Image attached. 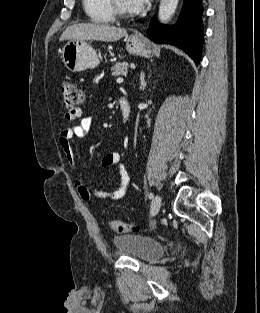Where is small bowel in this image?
I'll return each mask as SVG.
<instances>
[{"label":"small bowel","instance_id":"obj_1","mask_svg":"<svg viewBox=\"0 0 260 313\" xmlns=\"http://www.w3.org/2000/svg\"><path fill=\"white\" fill-rule=\"evenodd\" d=\"M65 120L68 122H75L80 120L78 124H74L60 131L57 137L58 145L61 151L65 154L69 165L73 168H77V162L71 148V140L74 137H84L92 128L94 120L92 117H82V110L77 109L75 111H68L65 114ZM102 166L118 167V177L116 180V186L112 191H103L89 189L80 179L77 180V190L80 197L84 201H90L91 198L97 197L110 201L121 199L128 189L129 175L126 168L122 164V156L118 151L107 153L102 158Z\"/></svg>","mask_w":260,"mask_h":313}]
</instances>
